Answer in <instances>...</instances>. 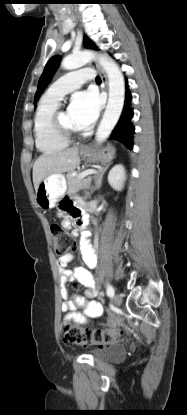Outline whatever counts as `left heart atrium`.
I'll use <instances>...</instances> for the list:
<instances>
[{
  "label": "left heart atrium",
  "mask_w": 187,
  "mask_h": 415,
  "mask_svg": "<svg viewBox=\"0 0 187 415\" xmlns=\"http://www.w3.org/2000/svg\"><path fill=\"white\" fill-rule=\"evenodd\" d=\"M99 99L92 91L75 93L68 106V114L78 129L90 127L99 113Z\"/></svg>",
  "instance_id": "obj_1"
}]
</instances>
